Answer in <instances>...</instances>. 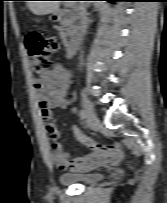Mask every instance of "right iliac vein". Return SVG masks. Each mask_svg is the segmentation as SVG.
Returning a JSON list of instances; mask_svg holds the SVG:
<instances>
[{"instance_id": "obj_1", "label": "right iliac vein", "mask_w": 167, "mask_h": 203, "mask_svg": "<svg viewBox=\"0 0 167 203\" xmlns=\"http://www.w3.org/2000/svg\"><path fill=\"white\" fill-rule=\"evenodd\" d=\"M82 103L84 106V111L86 113L88 126L92 128L98 123V118L94 112L91 101L85 94H82Z\"/></svg>"}]
</instances>
